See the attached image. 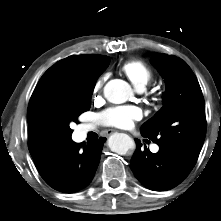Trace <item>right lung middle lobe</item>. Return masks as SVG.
Returning <instances> with one entry per match:
<instances>
[{
	"instance_id": "1",
	"label": "right lung middle lobe",
	"mask_w": 221,
	"mask_h": 221,
	"mask_svg": "<svg viewBox=\"0 0 221 221\" xmlns=\"http://www.w3.org/2000/svg\"><path fill=\"white\" fill-rule=\"evenodd\" d=\"M108 65L81 74L61 105L46 107L40 113L33 128L39 147L53 150L72 140L69 124L77 122L78 116L90 109L96 81Z\"/></svg>"
}]
</instances>
